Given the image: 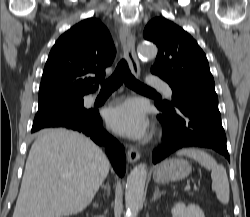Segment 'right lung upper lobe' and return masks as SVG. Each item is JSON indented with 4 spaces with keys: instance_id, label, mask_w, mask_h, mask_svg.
<instances>
[{
    "instance_id": "cb5924a9",
    "label": "right lung upper lobe",
    "mask_w": 250,
    "mask_h": 217,
    "mask_svg": "<svg viewBox=\"0 0 250 217\" xmlns=\"http://www.w3.org/2000/svg\"><path fill=\"white\" fill-rule=\"evenodd\" d=\"M115 53L110 33L99 20L88 18L70 28L56 41L48 56L39 90V107L94 92Z\"/></svg>"
}]
</instances>
